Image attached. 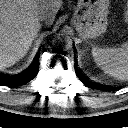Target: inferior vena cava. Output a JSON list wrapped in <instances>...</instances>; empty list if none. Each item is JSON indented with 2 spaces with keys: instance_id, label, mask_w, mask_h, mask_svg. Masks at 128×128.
Wrapping results in <instances>:
<instances>
[{
  "instance_id": "inferior-vena-cava-1",
  "label": "inferior vena cava",
  "mask_w": 128,
  "mask_h": 128,
  "mask_svg": "<svg viewBox=\"0 0 128 128\" xmlns=\"http://www.w3.org/2000/svg\"><path fill=\"white\" fill-rule=\"evenodd\" d=\"M39 20H41V21H47V14H41L39 16Z\"/></svg>"
}]
</instances>
